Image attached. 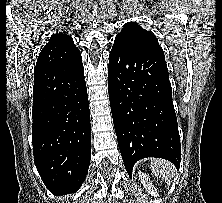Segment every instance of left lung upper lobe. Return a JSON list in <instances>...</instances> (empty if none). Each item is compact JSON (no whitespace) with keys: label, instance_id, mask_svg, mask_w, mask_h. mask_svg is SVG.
<instances>
[{"label":"left lung upper lobe","instance_id":"left-lung-upper-lobe-1","mask_svg":"<svg viewBox=\"0 0 222 203\" xmlns=\"http://www.w3.org/2000/svg\"><path fill=\"white\" fill-rule=\"evenodd\" d=\"M133 38V39H142L145 40L148 44H151L155 47H157L159 50H162L158 43V39L153 35L151 32L143 29L140 25L135 24V23H127L125 24L124 28L122 31L116 36L115 39L118 38Z\"/></svg>","mask_w":222,"mask_h":203}]
</instances>
